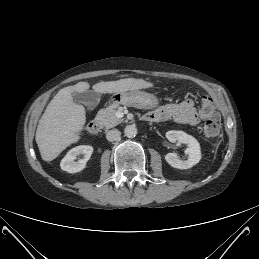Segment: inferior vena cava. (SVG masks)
Returning <instances> with one entry per match:
<instances>
[{
    "label": "inferior vena cava",
    "mask_w": 259,
    "mask_h": 259,
    "mask_svg": "<svg viewBox=\"0 0 259 259\" xmlns=\"http://www.w3.org/2000/svg\"><path fill=\"white\" fill-rule=\"evenodd\" d=\"M120 136H121V132L117 129H112V130H109L107 133H106V139L110 142L112 141H116V140H119L120 139Z\"/></svg>",
    "instance_id": "602c4592"
}]
</instances>
